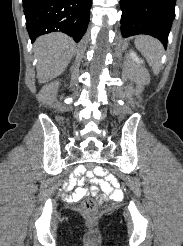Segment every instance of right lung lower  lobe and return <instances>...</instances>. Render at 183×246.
<instances>
[{
    "instance_id": "right-lung-lower-lobe-1",
    "label": "right lung lower lobe",
    "mask_w": 183,
    "mask_h": 246,
    "mask_svg": "<svg viewBox=\"0 0 183 246\" xmlns=\"http://www.w3.org/2000/svg\"><path fill=\"white\" fill-rule=\"evenodd\" d=\"M91 3L92 0H23L31 41L43 34L63 32L79 42L89 23Z\"/></svg>"
}]
</instances>
